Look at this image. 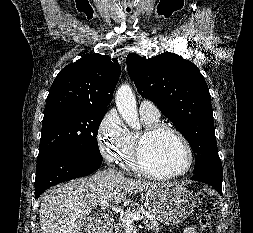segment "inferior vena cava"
I'll use <instances>...</instances> for the list:
<instances>
[{"instance_id": "obj_1", "label": "inferior vena cava", "mask_w": 253, "mask_h": 233, "mask_svg": "<svg viewBox=\"0 0 253 233\" xmlns=\"http://www.w3.org/2000/svg\"><path fill=\"white\" fill-rule=\"evenodd\" d=\"M108 172H115V170L109 168V169H108Z\"/></svg>"}]
</instances>
